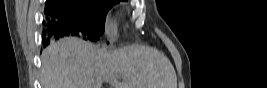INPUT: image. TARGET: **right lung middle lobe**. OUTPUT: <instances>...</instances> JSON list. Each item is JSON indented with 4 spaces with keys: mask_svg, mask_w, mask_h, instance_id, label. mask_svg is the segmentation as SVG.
I'll return each mask as SVG.
<instances>
[{
    "mask_svg": "<svg viewBox=\"0 0 267 88\" xmlns=\"http://www.w3.org/2000/svg\"><path fill=\"white\" fill-rule=\"evenodd\" d=\"M117 3L119 0H47L45 13L51 19L71 22L85 35L99 38L108 10Z\"/></svg>",
    "mask_w": 267,
    "mask_h": 88,
    "instance_id": "right-lung-middle-lobe-1",
    "label": "right lung middle lobe"
}]
</instances>
